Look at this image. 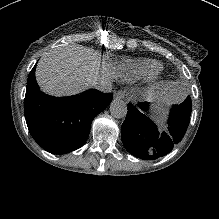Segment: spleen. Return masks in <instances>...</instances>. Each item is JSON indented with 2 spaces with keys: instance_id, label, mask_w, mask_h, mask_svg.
Returning <instances> with one entry per match:
<instances>
[{
  "instance_id": "3e777b00",
  "label": "spleen",
  "mask_w": 219,
  "mask_h": 219,
  "mask_svg": "<svg viewBox=\"0 0 219 219\" xmlns=\"http://www.w3.org/2000/svg\"><path fill=\"white\" fill-rule=\"evenodd\" d=\"M157 112V111H156ZM152 118L154 119V121L158 124V126L163 127L164 126V121L163 118L160 117L158 114H154L152 116Z\"/></svg>"
}]
</instances>
